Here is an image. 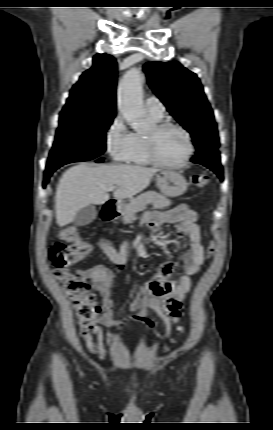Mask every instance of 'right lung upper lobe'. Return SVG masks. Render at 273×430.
<instances>
[{
	"label": "right lung upper lobe",
	"instance_id": "right-lung-upper-lobe-1",
	"mask_svg": "<svg viewBox=\"0 0 273 430\" xmlns=\"http://www.w3.org/2000/svg\"><path fill=\"white\" fill-rule=\"evenodd\" d=\"M116 85L115 59L108 54H97L93 58L92 68L85 71L71 89L63 110H77L91 115H115Z\"/></svg>",
	"mask_w": 273,
	"mask_h": 430
}]
</instances>
